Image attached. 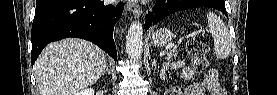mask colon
I'll return each instance as SVG.
<instances>
[{
    "label": "colon",
    "instance_id": "1",
    "mask_svg": "<svg viewBox=\"0 0 277 95\" xmlns=\"http://www.w3.org/2000/svg\"><path fill=\"white\" fill-rule=\"evenodd\" d=\"M187 51L191 57L195 69L198 72H204L208 64V45L204 43L200 38L192 37L188 41ZM214 75L215 71H207L206 78L208 82H212L214 80Z\"/></svg>",
    "mask_w": 277,
    "mask_h": 95
}]
</instances>
